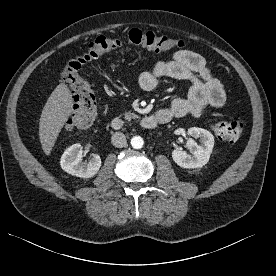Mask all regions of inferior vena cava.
Instances as JSON below:
<instances>
[{"mask_svg": "<svg viewBox=\"0 0 276 276\" xmlns=\"http://www.w3.org/2000/svg\"><path fill=\"white\" fill-rule=\"evenodd\" d=\"M111 142L118 148L125 147L127 144L126 137L122 132H115L111 137Z\"/></svg>", "mask_w": 276, "mask_h": 276, "instance_id": "inferior-vena-cava-1", "label": "inferior vena cava"}]
</instances>
